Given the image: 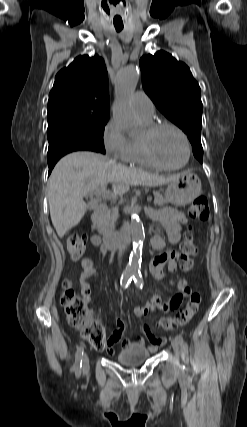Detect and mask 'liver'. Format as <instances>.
Instances as JSON below:
<instances>
[{"mask_svg":"<svg viewBox=\"0 0 247 427\" xmlns=\"http://www.w3.org/2000/svg\"><path fill=\"white\" fill-rule=\"evenodd\" d=\"M176 177L130 168L94 152L70 153L56 164L49 178L52 224L58 236L63 237L84 216L87 205L83 197L108 183H113V192L124 194L131 185L154 187L167 184Z\"/></svg>","mask_w":247,"mask_h":427,"instance_id":"liver-1","label":"liver"}]
</instances>
